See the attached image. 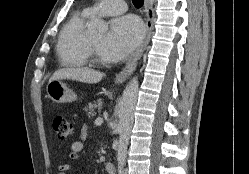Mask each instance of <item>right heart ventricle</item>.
I'll return each mask as SVG.
<instances>
[{
  "mask_svg": "<svg viewBox=\"0 0 249 174\" xmlns=\"http://www.w3.org/2000/svg\"><path fill=\"white\" fill-rule=\"evenodd\" d=\"M90 15L86 12L74 14L63 27L57 45L61 63L65 66L82 67L89 63V35L86 24Z\"/></svg>",
  "mask_w": 249,
  "mask_h": 174,
  "instance_id": "1",
  "label": "right heart ventricle"
}]
</instances>
